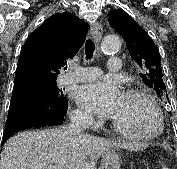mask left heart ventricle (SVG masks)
I'll return each mask as SVG.
<instances>
[{
  "label": "left heart ventricle",
  "mask_w": 177,
  "mask_h": 169,
  "mask_svg": "<svg viewBox=\"0 0 177 169\" xmlns=\"http://www.w3.org/2000/svg\"><path fill=\"white\" fill-rule=\"evenodd\" d=\"M124 129L133 133H150L158 128V118L149 103L137 96L123 95L111 116Z\"/></svg>",
  "instance_id": "left-heart-ventricle-1"
}]
</instances>
